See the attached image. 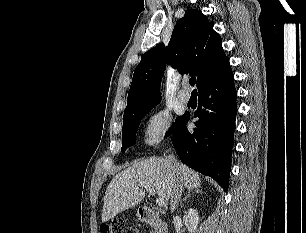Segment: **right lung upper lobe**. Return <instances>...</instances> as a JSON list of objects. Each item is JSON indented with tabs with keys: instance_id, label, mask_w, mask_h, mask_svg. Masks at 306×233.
<instances>
[{
	"instance_id": "1",
	"label": "right lung upper lobe",
	"mask_w": 306,
	"mask_h": 233,
	"mask_svg": "<svg viewBox=\"0 0 306 233\" xmlns=\"http://www.w3.org/2000/svg\"><path fill=\"white\" fill-rule=\"evenodd\" d=\"M213 25L201 11L187 10L177 21L169 45L161 43L142 55L134 71L124 116L160 102L166 62L182 74L197 76L198 90L231 68Z\"/></svg>"
}]
</instances>
